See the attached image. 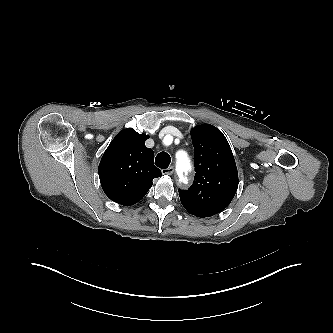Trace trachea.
I'll return each instance as SVG.
<instances>
[{"instance_id": "1", "label": "trachea", "mask_w": 333, "mask_h": 333, "mask_svg": "<svg viewBox=\"0 0 333 333\" xmlns=\"http://www.w3.org/2000/svg\"><path fill=\"white\" fill-rule=\"evenodd\" d=\"M170 162V155L166 152H160L155 158V165L162 169L168 168Z\"/></svg>"}]
</instances>
